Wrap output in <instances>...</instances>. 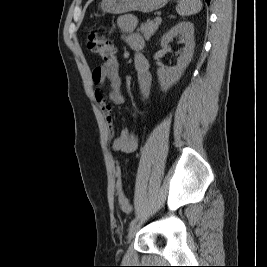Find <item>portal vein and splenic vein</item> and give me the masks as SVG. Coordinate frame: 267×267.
Segmentation results:
<instances>
[{
  "label": "portal vein and splenic vein",
  "mask_w": 267,
  "mask_h": 267,
  "mask_svg": "<svg viewBox=\"0 0 267 267\" xmlns=\"http://www.w3.org/2000/svg\"><path fill=\"white\" fill-rule=\"evenodd\" d=\"M155 20L156 21H162V18H161V16H157Z\"/></svg>",
  "instance_id": "portal-vein-and-splenic-vein-1"
}]
</instances>
